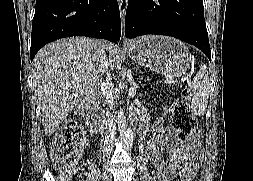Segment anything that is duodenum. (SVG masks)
I'll list each match as a JSON object with an SVG mask.
<instances>
[{"instance_id":"1","label":"duodenum","mask_w":253,"mask_h":181,"mask_svg":"<svg viewBox=\"0 0 253 181\" xmlns=\"http://www.w3.org/2000/svg\"><path fill=\"white\" fill-rule=\"evenodd\" d=\"M79 115L88 123L94 133L103 131V122L97 110V97L89 96L83 100L78 108Z\"/></svg>"}]
</instances>
